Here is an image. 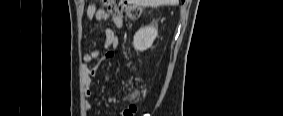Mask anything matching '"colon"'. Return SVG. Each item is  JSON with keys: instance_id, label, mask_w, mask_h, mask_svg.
Returning a JSON list of instances; mask_svg holds the SVG:
<instances>
[{"instance_id": "1", "label": "colon", "mask_w": 283, "mask_h": 116, "mask_svg": "<svg viewBox=\"0 0 283 116\" xmlns=\"http://www.w3.org/2000/svg\"><path fill=\"white\" fill-rule=\"evenodd\" d=\"M107 5L110 13L117 14L121 17L136 20L141 16L142 9L137 4L132 1L126 0H104L102 1ZM139 92L138 89H135L132 92V96L136 95ZM136 112V107L134 105H130L124 109L122 115L123 116H133Z\"/></svg>"}]
</instances>
